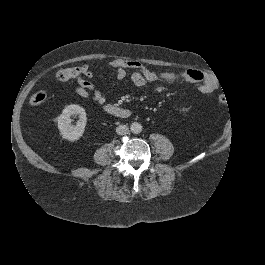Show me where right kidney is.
<instances>
[{"label": "right kidney", "instance_id": "1", "mask_svg": "<svg viewBox=\"0 0 265 265\" xmlns=\"http://www.w3.org/2000/svg\"><path fill=\"white\" fill-rule=\"evenodd\" d=\"M79 114L76 127L70 125V116ZM87 123L86 111L78 105H69L58 117L57 128L60 136L68 142H76L82 138Z\"/></svg>", "mask_w": 265, "mask_h": 265}]
</instances>
